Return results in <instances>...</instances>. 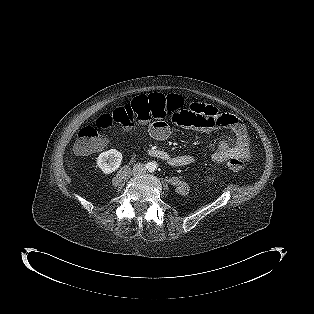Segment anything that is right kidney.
<instances>
[{
    "label": "right kidney",
    "instance_id": "1",
    "mask_svg": "<svg viewBox=\"0 0 314 314\" xmlns=\"http://www.w3.org/2000/svg\"><path fill=\"white\" fill-rule=\"evenodd\" d=\"M122 159L121 152L116 149H110L98 156L96 164L105 174H110L120 167Z\"/></svg>",
    "mask_w": 314,
    "mask_h": 314
}]
</instances>
